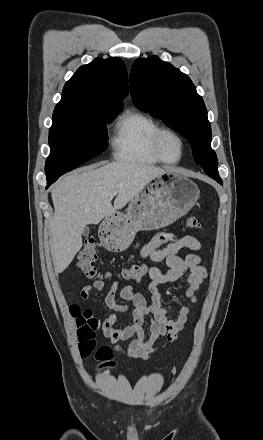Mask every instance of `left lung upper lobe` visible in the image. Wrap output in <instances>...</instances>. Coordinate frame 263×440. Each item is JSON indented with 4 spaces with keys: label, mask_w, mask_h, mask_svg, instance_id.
Here are the masks:
<instances>
[{
    "label": "left lung upper lobe",
    "mask_w": 263,
    "mask_h": 440,
    "mask_svg": "<svg viewBox=\"0 0 263 440\" xmlns=\"http://www.w3.org/2000/svg\"><path fill=\"white\" fill-rule=\"evenodd\" d=\"M129 85L133 102L186 137L196 163L210 177H219L207 110L190 78L152 56L134 62Z\"/></svg>",
    "instance_id": "1"
}]
</instances>
